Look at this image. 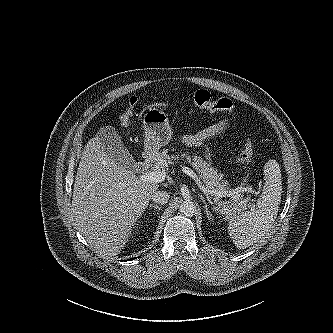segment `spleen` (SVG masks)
<instances>
[{
  "label": "spleen",
  "mask_w": 333,
  "mask_h": 333,
  "mask_svg": "<svg viewBox=\"0 0 333 333\" xmlns=\"http://www.w3.org/2000/svg\"><path fill=\"white\" fill-rule=\"evenodd\" d=\"M264 180L262 194L251 211L229 218L228 232L238 249L257 243L275 222L282 194L281 170L276 160L265 164Z\"/></svg>",
  "instance_id": "1"
}]
</instances>
